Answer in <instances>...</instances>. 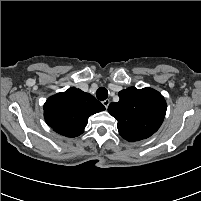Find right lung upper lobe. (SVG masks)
<instances>
[{"mask_svg": "<svg viewBox=\"0 0 201 201\" xmlns=\"http://www.w3.org/2000/svg\"><path fill=\"white\" fill-rule=\"evenodd\" d=\"M105 107L91 94L69 88L47 99L44 104L46 123L57 133L77 137L83 133L88 118Z\"/></svg>", "mask_w": 201, "mask_h": 201, "instance_id": "cb5924a9", "label": "right lung upper lobe"}]
</instances>
